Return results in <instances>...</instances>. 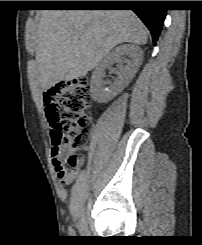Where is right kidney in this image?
Returning a JSON list of instances; mask_svg holds the SVG:
<instances>
[{
    "instance_id": "ca27d5eb",
    "label": "right kidney",
    "mask_w": 202,
    "mask_h": 245,
    "mask_svg": "<svg viewBox=\"0 0 202 245\" xmlns=\"http://www.w3.org/2000/svg\"><path fill=\"white\" fill-rule=\"evenodd\" d=\"M130 58L125 66L121 65L118 68L117 78L109 87L105 85L109 82H104L102 79L105 75L106 68L110 67L120 58ZM143 59V51L137 45L124 44L116 47L109 52L98 64L94 70L91 82L90 91L92 98L99 103H106L117 96L135 76Z\"/></svg>"
}]
</instances>
